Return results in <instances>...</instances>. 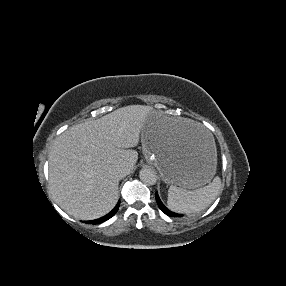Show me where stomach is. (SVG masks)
<instances>
[{"instance_id": "stomach-1", "label": "stomach", "mask_w": 286, "mask_h": 286, "mask_svg": "<svg viewBox=\"0 0 286 286\" xmlns=\"http://www.w3.org/2000/svg\"><path fill=\"white\" fill-rule=\"evenodd\" d=\"M146 160L166 184L200 188L216 173L217 150L208 128L196 120L150 115L140 130Z\"/></svg>"}]
</instances>
